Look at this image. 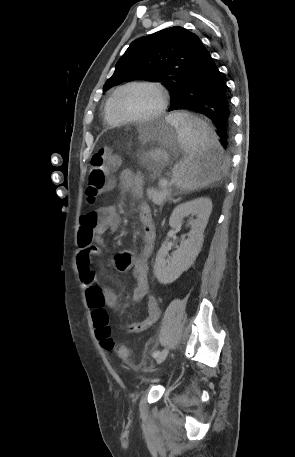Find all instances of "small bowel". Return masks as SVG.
<instances>
[{
    "instance_id": "c3829d8e",
    "label": "small bowel",
    "mask_w": 295,
    "mask_h": 457,
    "mask_svg": "<svg viewBox=\"0 0 295 457\" xmlns=\"http://www.w3.org/2000/svg\"><path fill=\"white\" fill-rule=\"evenodd\" d=\"M119 188L129 192L134 198L140 199L143 194L142 179L131 170H123L119 176ZM143 227V238L139 252L124 250L119 252L113 260L116 270L125 272L132 270L135 278V288L132 294V303H138L147 296V315L138 322L127 325L131 333H141L149 329L159 318L160 307L157 298L150 294L148 283V257L151 254L155 241V224L150 207L141 202L137 208ZM121 222L120 215L114 206L101 207L87 212L80 217L78 232L79 252L76 265L81 282L86 289L89 306L91 300L101 301L109 308L118 307V294L104 286L92 269L93 260L99 256L105 247L103 235L117 230Z\"/></svg>"
}]
</instances>
